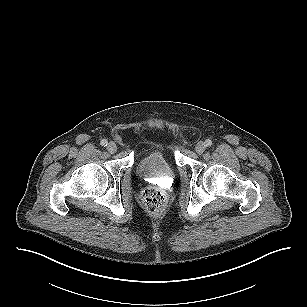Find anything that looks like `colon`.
<instances>
[{"label":"colon","mask_w":307,"mask_h":307,"mask_svg":"<svg viewBox=\"0 0 307 307\" xmlns=\"http://www.w3.org/2000/svg\"><path fill=\"white\" fill-rule=\"evenodd\" d=\"M142 202L151 214H160L166 207V195L158 187H147L141 194Z\"/></svg>","instance_id":"1"}]
</instances>
